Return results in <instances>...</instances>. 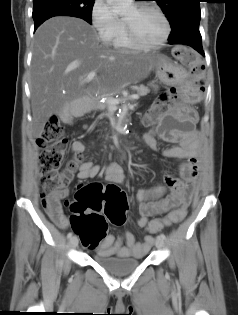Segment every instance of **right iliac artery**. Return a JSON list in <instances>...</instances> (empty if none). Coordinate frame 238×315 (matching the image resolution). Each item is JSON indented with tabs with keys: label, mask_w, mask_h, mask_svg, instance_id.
I'll list each match as a JSON object with an SVG mask.
<instances>
[{
	"label": "right iliac artery",
	"mask_w": 238,
	"mask_h": 315,
	"mask_svg": "<svg viewBox=\"0 0 238 315\" xmlns=\"http://www.w3.org/2000/svg\"><path fill=\"white\" fill-rule=\"evenodd\" d=\"M67 237H68V238H71V237H72V232H69L68 235H67Z\"/></svg>",
	"instance_id": "82829eb1"
}]
</instances>
